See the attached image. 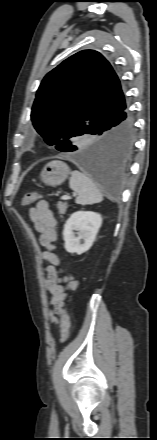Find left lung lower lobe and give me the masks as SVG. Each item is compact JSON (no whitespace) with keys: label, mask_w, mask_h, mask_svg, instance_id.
<instances>
[{"label":"left lung lower lobe","mask_w":157,"mask_h":440,"mask_svg":"<svg viewBox=\"0 0 157 440\" xmlns=\"http://www.w3.org/2000/svg\"><path fill=\"white\" fill-rule=\"evenodd\" d=\"M93 135H99L89 147L73 145L62 152H72L74 160L108 191H115L126 172L134 142V121L127 104L105 119Z\"/></svg>","instance_id":"obj_1"}]
</instances>
